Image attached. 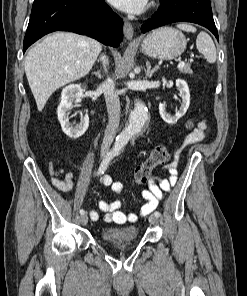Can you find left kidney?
I'll return each instance as SVG.
<instances>
[{
	"mask_svg": "<svg viewBox=\"0 0 247 296\" xmlns=\"http://www.w3.org/2000/svg\"><path fill=\"white\" fill-rule=\"evenodd\" d=\"M176 86L180 91V97L182 98V104L180 109L171 115L165 111V104H159V113L162 119L168 124H175L187 111L190 104V92L187 83L184 80H176Z\"/></svg>",
	"mask_w": 247,
	"mask_h": 296,
	"instance_id": "left-kidney-1",
	"label": "left kidney"
}]
</instances>
